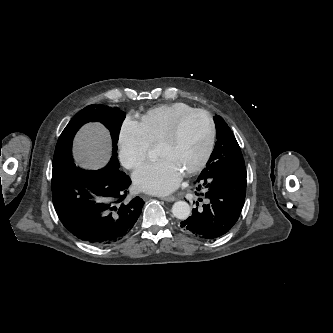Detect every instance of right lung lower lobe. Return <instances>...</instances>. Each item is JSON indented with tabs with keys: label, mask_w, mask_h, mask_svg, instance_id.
Segmentation results:
<instances>
[{
	"label": "right lung lower lobe",
	"mask_w": 333,
	"mask_h": 333,
	"mask_svg": "<svg viewBox=\"0 0 333 333\" xmlns=\"http://www.w3.org/2000/svg\"><path fill=\"white\" fill-rule=\"evenodd\" d=\"M119 167L114 155L100 170L87 171L72 161L53 167L56 213L78 239L98 246L110 245L133 229L144 201L127 197L131 179Z\"/></svg>",
	"instance_id": "obj_1"
}]
</instances>
